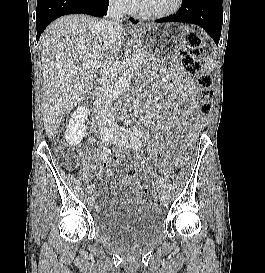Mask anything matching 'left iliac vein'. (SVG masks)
I'll use <instances>...</instances> for the list:
<instances>
[{
	"instance_id": "left-iliac-vein-1",
	"label": "left iliac vein",
	"mask_w": 265,
	"mask_h": 273,
	"mask_svg": "<svg viewBox=\"0 0 265 273\" xmlns=\"http://www.w3.org/2000/svg\"><path fill=\"white\" fill-rule=\"evenodd\" d=\"M114 142L120 146H127L129 148H132L134 150H139L141 146V141L139 137L134 135L133 133L124 130L122 133L117 132L115 135ZM170 197L167 190H163L162 192V203L164 206H167L169 204Z\"/></svg>"
}]
</instances>
